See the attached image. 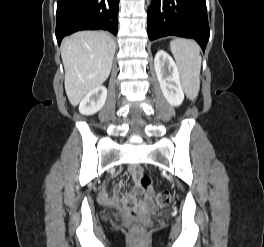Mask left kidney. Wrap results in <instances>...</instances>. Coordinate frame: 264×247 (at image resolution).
I'll list each match as a JSON object with an SVG mask.
<instances>
[{
    "mask_svg": "<svg viewBox=\"0 0 264 247\" xmlns=\"http://www.w3.org/2000/svg\"><path fill=\"white\" fill-rule=\"evenodd\" d=\"M156 75L162 93L171 106H179L184 100L178 68L168 53L159 50L154 59Z\"/></svg>",
    "mask_w": 264,
    "mask_h": 247,
    "instance_id": "obj_1",
    "label": "left kidney"
}]
</instances>
